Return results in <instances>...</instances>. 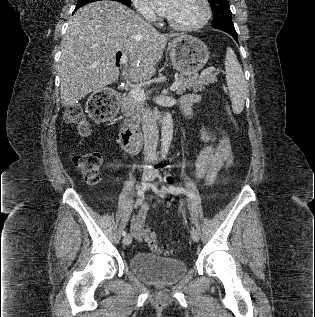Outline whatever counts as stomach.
<instances>
[{
    "label": "stomach",
    "mask_w": 315,
    "mask_h": 317,
    "mask_svg": "<svg viewBox=\"0 0 315 317\" xmlns=\"http://www.w3.org/2000/svg\"><path fill=\"white\" fill-rule=\"evenodd\" d=\"M172 64L182 76L196 75L209 59V51L200 39L182 35L169 43Z\"/></svg>",
    "instance_id": "stomach-1"
}]
</instances>
